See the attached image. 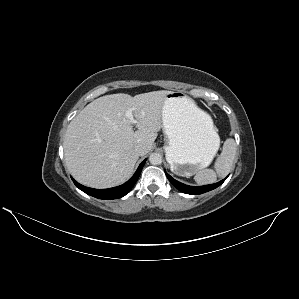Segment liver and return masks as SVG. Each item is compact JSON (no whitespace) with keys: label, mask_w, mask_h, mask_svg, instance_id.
I'll return each mask as SVG.
<instances>
[{"label":"liver","mask_w":299,"mask_h":299,"mask_svg":"<svg viewBox=\"0 0 299 299\" xmlns=\"http://www.w3.org/2000/svg\"><path fill=\"white\" fill-rule=\"evenodd\" d=\"M170 91L135 95L111 94L99 97L81 110L67 127L64 160L68 171L81 184L110 188L124 183L139 158L135 146L145 154L162 127V105ZM132 109L136 128L125 116ZM144 154V155H145Z\"/></svg>","instance_id":"1"}]
</instances>
